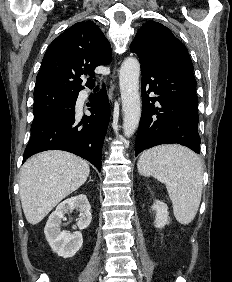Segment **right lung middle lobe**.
<instances>
[{
	"mask_svg": "<svg viewBox=\"0 0 232 282\" xmlns=\"http://www.w3.org/2000/svg\"><path fill=\"white\" fill-rule=\"evenodd\" d=\"M77 95L61 91L47 90L34 92V119L32 124L40 122L60 109L69 107Z\"/></svg>",
	"mask_w": 232,
	"mask_h": 282,
	"instance_id": "right-lung-middle-lobe-1",
	"label": "right lung middle lobe"
}]
</instances>
